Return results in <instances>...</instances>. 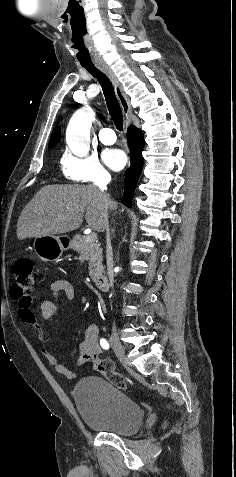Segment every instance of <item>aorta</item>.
Returning a JSON list of instances; mask_svg holds the SVG:
<instances>
[{
  "label": "aorta",
  "mask_w": 236,
  "mask_h": 477,
  "mask_svg": "<svg viewBox=\"0 0 236 477\" xmlns=\"http://www.w3.org/2000/svg\"><path fill=\"white\" fill-rule=\"evenodd\" d=\"M93 118L94 112L90 108H82L70 119L66 131V141L75 154L86 155L88 153Z\"/></svg>",
  "instance_id": "aorta-1"
}]
</instances>
